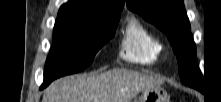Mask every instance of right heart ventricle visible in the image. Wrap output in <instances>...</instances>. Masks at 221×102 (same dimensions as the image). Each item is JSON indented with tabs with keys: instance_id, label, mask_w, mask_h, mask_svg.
Segmentation results:
<instances>
[{
	"instance_id": "1",
	"label": "right heart ventricle",
	"mask_w": 221,
	"mask_h": 102,
	"mask_svg": "<svg viewBox=\"0 0 221 102\" xmlns=\"http://www.w3.org/2000/svg\"><path fill=\"white\" fill-rule=\"evenodd\" d=\"M163 45L160 39L142 22L131 18L123 31L120 56L132 63L152 65L160 57Z\"/></svg>"
}]
</instances>
